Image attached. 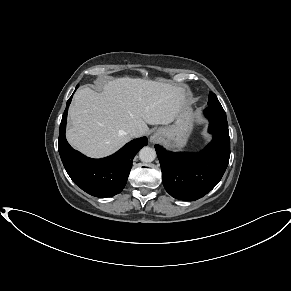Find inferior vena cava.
I'll use <instances>...</instances> for the list:
<instances>
[{
  "label": "inferior vena cava",
  "mask_w": 291,
  "mask_h": 291,
  "mask_svg": "<svg viewBox=\"0 0 291 291\" xmlns=\"http://www.w3.org/2000/svg\"><path fill=\"white\" fill-rule=\"evenodd\" d=\"M130 135H131V137H140V136H142V132L140 130L133 129L130 132Z\"/></svg>",
  "instance_id": "obj_1"
}]
</instances>
